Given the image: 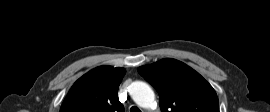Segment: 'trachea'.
<instances>
[{
  "mask_svg": "<svg viewBox=\"0 0 270 112\" xmlns=\"http://www.w3.org/2000/svg\"><path fill=\"white\" fill-rule=\"evenodd\" d=\"M130 112H141V110L138 107L133 106L131 107Z\"/></svg>",
  "mask_w": 270,
  "mask_h": 112,
  "instance_id": "3493384b",
  "label": "trachea"
}]
</instances>
